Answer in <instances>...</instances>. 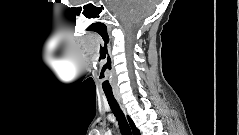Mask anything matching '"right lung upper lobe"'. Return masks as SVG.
Returning <instances> with one entry per match:
<instances>
[{
    "instance_id": "right-lung-upper-lobe-1",
    "label": "right lung upper lobe",
    "mask_w": 239,
    "mask_h": 135,
    "mask_svg": "<svg viewBox=\"0 0 239 135\" xmlns=\"http://www.w3.org/2000/svg\"><path fill=\"white\" fill-rule=\"evenodd\" d=\"M128 120H129V123H130V126L132 128V131H133V134L134 135H140V132L139 130L135 127L133 121L128 117Z\"/></svg>"
}]
</instances>
